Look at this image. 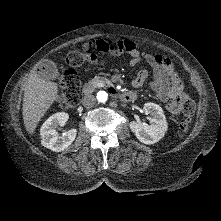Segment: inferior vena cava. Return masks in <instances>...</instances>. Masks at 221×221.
<instances>
[{
  "label": "inferior vena cava",
  "mask_w": 221,
  "mask_h": 221,
  "mask_svg": "<svg viewBox=\"0 0 221 221\" xmlns=\"http://www.w3.org/2000/svg\"><path fill=\"white\" fill-rule=\"evenodd\" d=\"M96 103V98L93 95H86L83 98V105L86 108H91L95 105Z\"/></svg>",
  "instance_id": "inferior-vena-cava-1"
}]
</instances>
